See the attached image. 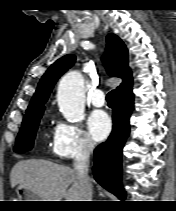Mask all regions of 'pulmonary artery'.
I'll return each mask as SVG.
<instances>
[{"label":"pulmonary artery","instance_id":"obj_1","mask_svg":"<svg viewBox=\"0 0 176 211\" xmlns=\"http://www.w3.org/2000/svg\"><path fill=\"white\" fill-rule=\"evenodd\" d=\"M90 102L95 107H102L105 104V94L101 89H95L90 95Z\"/></svg>","mask_w":176,"mask_h":211}]
</instances>
